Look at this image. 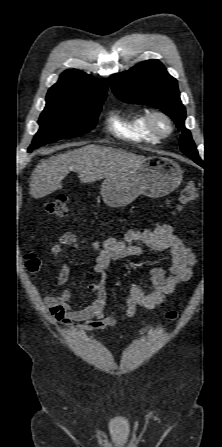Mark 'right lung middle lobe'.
<instances>
[{"instance_id": "obj_1", "label": "right lung middle lobe", "mask_w": 222, "mask_h": 447, "mask_svg": "<svg viewBox=\"0 0 222 447\" xmlns=\"http://www.w3.org/2000/svg\"><path fill=\"white\" fill-rule=\"evenodd\" d=\"M106 96L76 97L47 93L46 107L39 118V131L28 151L94 128Z\"/></svg>"}]
</instances>
